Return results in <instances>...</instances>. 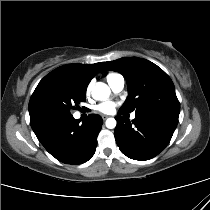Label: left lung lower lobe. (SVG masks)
<instances>
[{"mask_svg": "<svg viewBox=\"0 0 210 210\" xmlns=\"http://www.w3.org/2000/svg\"><path fill=\"white\" fill-rule=\"evenodd\" d=\"M119 110L115 140L127 157L144 161L158 155L170 142L178 124L179 115L165 112L136 114L132 123L120 116Z\"/></svg>", "mask_w": 210, "mask_h": 210, "instance_id": "0a47b994", "label": "left lung lower lobe"}]
</instances>
